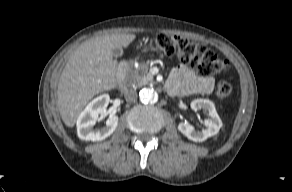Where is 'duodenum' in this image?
I'll use <instances>...</instances> for the list:
<instances>
[{
	"label": "duodenum",
	"instance_id": "duodenum-1",
	"mask_svg": "<svg viewBox=\"0 0 292 192\" xmlns=\"http://www.w3.org/2000/svg\"><path fill=\"white\" fill-rule=\"evenodd\" d=\"M129 67V63L124 61L122 62L119 67H118V71H117V80L120 82L122 81V79L124 78L126 71Z\"/></svg>",
	"mask_w": 292,
	"mask_h": 192
}]
</instances>
